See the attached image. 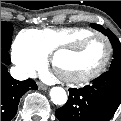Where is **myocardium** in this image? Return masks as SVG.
<instances>
[{
    "instance_id": "myocardium-1",
    "label": "myocardium",
    "mask_w": 121,
    "mask_h": 121,
    "mask_svg": "<svg viewBox=\"0 0 121 121\" xmlns=\"http://www.w3.org/2000/svg\"><path fill=\"white\" fill-rule=\"evenodd\" d=\"M93 37L100 38L104 42V45H105L104 57H103L102 61L98 65H96L94 68H91L90 70L82 71L81 72L82 74H85V73H94V72H97V71L101 70L107 64V62L109 60V56H110V53H111V45H110V42H109L108 38L106 36L102 35V34H97V35L90 34V35H86L84 37V39L87 41V40L92 39ZM74 49L75 48L73 46L59 48V49H57L54 52L53 57H52V63L54 65L55 69L58 72L63 73L66 76H69V77L79 76L80 72L76 73V71L67 70L66 68L61 67L59 65L58 61H59V59H60V57L62 55L68 54L69 52H71Z\"/></svg>"
}]
</instances>
